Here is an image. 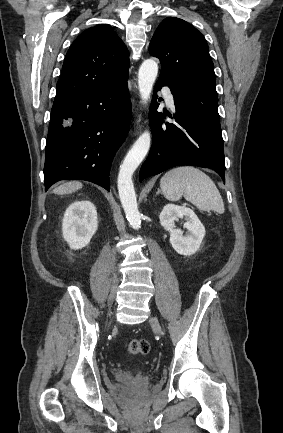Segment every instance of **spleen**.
<instances>
[{"label": "spleen", "mask_w": 283, "mask_h": 433, "mask_svg": "<svg viewBox=\"0 0 283 433\" xmlns=\"http://www.w3.org/2000/svg\"><path fill=\"white\" fill-rule=\"evenodd\" d=\"M161 190L168 200H179L184 194L186 200L199 210H216L223 214V198L213 180L194 166H178L168 170L160 180Z\"/></svg>", "instance_id": "spleen-1"}]
</instances>
